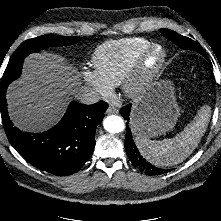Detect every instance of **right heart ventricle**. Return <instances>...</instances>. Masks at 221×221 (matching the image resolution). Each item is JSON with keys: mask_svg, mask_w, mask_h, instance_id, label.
<instances>
[{"mask_svg": "<svg viewBox=\"0 0 221 221\" xmlns=\"http://www.w3.org/2000/svg\"><path fill=\"white\" fill-rule=\"evenodd\" d=\"M142 37L112 40L98 46L93 54L95 71L111 87L122 84L139 54L150 45Z\"/></svg>", "mask_w": 221, "mask_h": 221, "instance_id": "e07e8e85", "label": "right heart ventricle"}]
</instances>
